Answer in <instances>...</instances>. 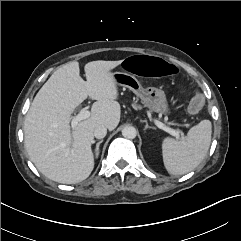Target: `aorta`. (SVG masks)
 Masks as SVG:
<instances>
[{"label":"aorta","instance_id":"1","mask_svg":"<svg viewBox=\"0 0 241 241\" xmlns=\"http://www.w3.org/2000/svg\"><path fill=\"white\" fill-rule=\"evenodd\" d=\"M137 135V131L133 126H126L122 130V136L126 139H134Z\"/></svg>","mask_w":241,"mask_h":241}]
</instances>
